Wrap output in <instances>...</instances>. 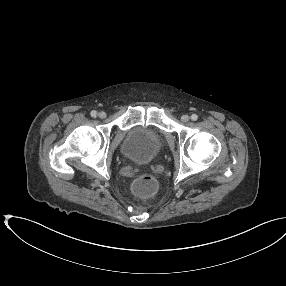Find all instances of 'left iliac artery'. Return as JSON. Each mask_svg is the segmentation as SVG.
I'll list each match as a JSON object with an SVG mask.
<instances>
[{
  "mask_svg": "<svg viewBox=\"0 0 286 286\" xmlns=\"http://www.w3.org/2000/svg\"><path fill=\"white\" fill-rule=\"evenodd\" d=\"M191 119L193 121H196L198 119V116L196 114H192Z\"/></svg>",
  "mask_w": 286,
  "mask_h": 286,
  "instance_id": "44dca946",
  "label": "left iliac artery"
}]
</instances>
